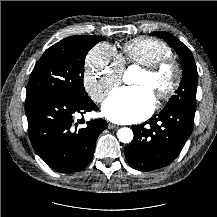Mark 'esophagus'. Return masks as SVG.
Listing matches in <instances>:
<instances>
[{
  "label": "esophagus",
  "instance_id": "esophagus-1",
  "mask_svg": "<svg viewBox=\"0 0 217 217\" xmlns=\"http://www.w3.org/2000/svg\"><path fill=\"white\" fill-rule=\"evenodd\" d=\"M108 128L109 129H115V128H117V126L115 124L109 123Z\"/></svg>",
  "mask_w": 217,
  "mask_h": 217
}]
</instances>
